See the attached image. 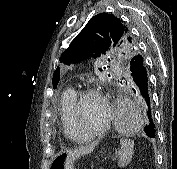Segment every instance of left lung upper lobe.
Segmentation results:
<instances>
[{"label":"left lung upper lobe","mask_w":177,"mask_h":169,"mask_svg":"<svg viewBox=\"0 0 177 169\" xmlns=\"http://www.w3.org/2000/svg\"><path fill=\"white\" fill-rule=\"evenodd\" d=\"M102 54L117 56L128 62L138 54V47L129 28L112 14L100 13L92 17L68 49L60 62L70 64L85 58H98ZM101 70V69H100ZM57 82H53V87Z\"/></svg>","instance_id":"1"}]
</instances>
